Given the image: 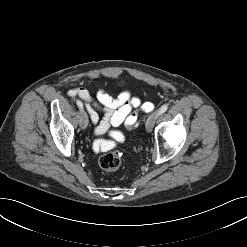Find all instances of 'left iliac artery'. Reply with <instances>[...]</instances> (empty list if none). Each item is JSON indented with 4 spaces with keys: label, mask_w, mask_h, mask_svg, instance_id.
<instances>
[{
    "label": "left iliac artery",
    "mask_w": 247,
    "mask_h": 247,
    "mask_svg": "<svg viewBox=\"0 0 247 247\" xmlns=\"http://www.w3.org/2000/svg\"><path fill=\"white\" fill-rule=\"evenodd\" d=\"M168 109V104H164L160 110H159V115L163 114L164 112H166V110Z\"/></svg>",
    "instance_id": "left-iliac-artery-1"
}]
</instances>
